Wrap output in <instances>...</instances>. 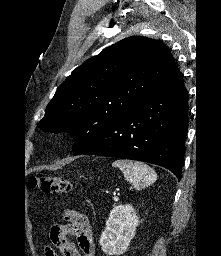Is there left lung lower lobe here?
Masks as SVG:
<instances>
[{
  "mask_svg": "<svg viewBox=\"0 0 221 256\" xmlns=\"http://www.w3.org/2000/svg\"><path fill=\"white\" fill-rule=\"evenodd\" d=\"M187 100L178 72L135 108L101 127L94 141L73 154L145 161L169 169L180 180L188 130Z\"/></svg>",
  "mask_w": 221,
  "mask_h": 256,
  "instance_id": "0a47b994",
  "label": "left lung lower lobe"
}]
</instances>
